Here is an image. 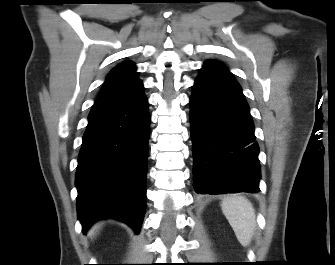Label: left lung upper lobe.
<instances>
[{"mask_svg":"<svg viewBox=\"0 0 335 265\" xmlns=\"http://www.w3.org/2000/svg\"><path fill=\"white\" fill-rule=\"evenodd\" d=\"M205 64H213V65H221V66H225L223 63H221L220 61L217 60H207L205 62Z\"/></svg>","mask_w":335,"mask_h":265,"instance_id":"left-lung-upper-lobe-1","label":"left lung upper lobe"}]
</instances>
